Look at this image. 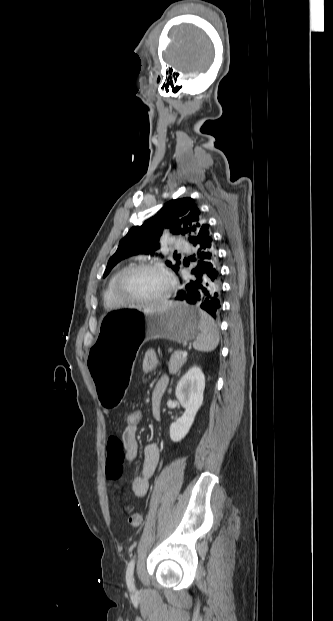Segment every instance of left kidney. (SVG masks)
Returning <instances> with one entry per match:
<instances>
[{"mask_svg": "<svg viewBox=\"0 0 333 621\" xmlns=\"http://www.w3.org/2000/svg\"><path fill=\"white\" fill-rule=\"evenodd\" d=\"M205 376L199 367H192L179 381L175 395L185 412L170 426V438L182 440L189 432L195 416L203 403Z\"/></svg>", "mask_w": 333, "mask_h": 621, "instance_id": "5707ae66", "label": "left kidney"}]
</instances>
